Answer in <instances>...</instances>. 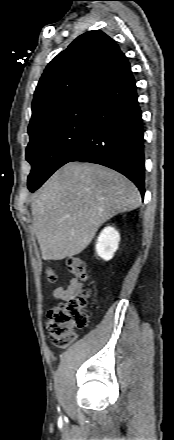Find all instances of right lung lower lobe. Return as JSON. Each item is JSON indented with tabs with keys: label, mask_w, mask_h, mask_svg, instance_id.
Returning a JSON list of instances; mask_svg holds the SVG:
<instances>
[{
	"label": "right lung lower lobe",
	"mask_w": 174,
	"mask_h": 440,
	"mask_svg": "<svg viewBox=\"0 0 174 440\" xmlns=\"http://www.w3.org/2000/svg\"><path fill=\"white\" fill-rule=\"evenodd\" d=\"M94 95L95 105L84 138L66 163L81 161L112 168L134 182L143 198L144 130L131 70Z\"/></svg>",
	"instance_id": "right-lung-lower-lobe-1"
}]
</instances>
